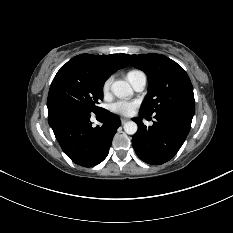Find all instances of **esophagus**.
<instances>
[{
  "instance_id": "1",
  "label": "esophagus",
  "mask_w": 233,
  "mask_h": 233,
  "mask_svg": "<svg viewBox=\"0 0 233 233\" xmlns=\"http://www.w3.org/2000/svg\"><path fill=\"white\" fill-rule=\"evenodd\" d=\"M127 121H128L127 118H121V123H122V124H125Z\"/></svg>"
}]
</instances>
